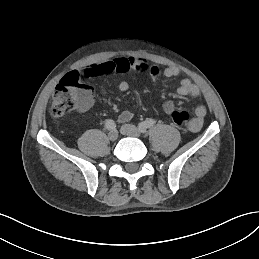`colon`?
<instances>
[{
  "mask_svg": "<svg viewBox=\"0 0 259 259\" xmlns=\"http://www.w3.org/2000/svg\"><path fill=\"white\" fill-rule=\"evenodd\" d=\"M92 88L81 82L76 71L67 73L56 86L52 96L50 113L53 118L58 119L66 116L75 109H87L92 103ZM173 123L186 128L190 123L187 112L173 110L171 113Z\"/></svg>",
  "mask_w": 259,
  "mask_h": 259,
  "instance_id": "colon-1",
  "label": "colon"
}]
</instances>
